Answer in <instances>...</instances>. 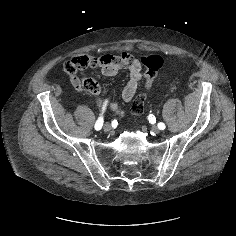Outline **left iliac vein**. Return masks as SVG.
I'll return each mask as SVG.
<instances>
[{
    "label": "left iliac vein",
    "instance_id": "left-iliac-vein-1",
    "mask_svg": "<svg viewBox=\"0 0 236 236\" xmlns=\"http://www.w3.org/2000/svg\"><path fill=\"white\" fill-rule=\"evenodd\" d=\"M151 130H152V132L155 133V134H159V133H160V129H159L157 126H152V127H151Z\"/></svg>",
    "mask_w": 236,
    "mask_h": 236
}]
</instances>
